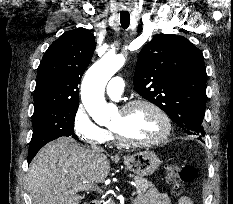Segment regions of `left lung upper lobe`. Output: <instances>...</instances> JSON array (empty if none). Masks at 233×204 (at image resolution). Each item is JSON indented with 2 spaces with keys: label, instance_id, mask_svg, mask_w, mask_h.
I'll return each instance as SVG.
<instances>
[{
  "label": "left lung upper lobe",
  "instance_id": "obj_1",
  "mask_svg": "<svg viewBox=\"0 0 233 204\" xmlns=\"http://www.w3.org/2000/svg\"><path fill=\"white\" fill-rule=\"evenodd\" d=\"M202 52L183 36L156 34L140 51L136 92L160 107L187 134L201 139L206 107Z\"/></svg>",
  "mask_w": 233,
  "mask_h": 204
}]
</instances>
